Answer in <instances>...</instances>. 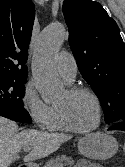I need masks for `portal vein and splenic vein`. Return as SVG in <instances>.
Returning a JSON list of instances; mask_svg holds the SVG:
<instances>
[{
	"mask_svg": "<svg viewBox=\"0 0 125 167\" xmlns=\"http://www.w3.org/2000/svg\"><path fill=\"white\" fill-rule=\"evenodd\" d=\"M23 150H24V152H29L31 150V147H24ZM63 166H64V164H60L57 167H63Z\"/></svg>",
	"mask_w": 125,
	"mask_h": 167,
	"instance_id": "18ae733b",
	"label": "portal vein and splenic vein"
}]
</instances>
